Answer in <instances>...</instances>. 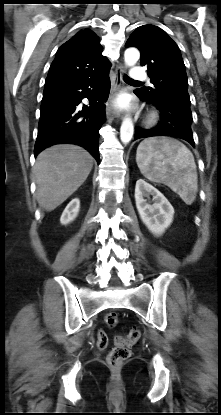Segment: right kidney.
Returning a JSON list of instances; mask_svg holds the SVG:
<instances>
[{"mask_svg": "<svg viewBox=\"0 0 221 415\" xmlns=\"http://www.w3.org/2000/svg\"><path fill=\"white\" fill-rule=\"evenodd\" d=\"M80 208V200L78 198L73 199L63 211L60 222L63 225L72 222L78 215Z\"/></svg>", "mask_w": 221, "mask_h": 415, "instance_id": "1", "label": "right kidney"}]
</instances>
